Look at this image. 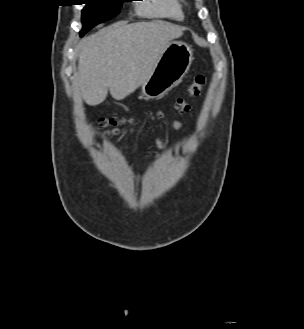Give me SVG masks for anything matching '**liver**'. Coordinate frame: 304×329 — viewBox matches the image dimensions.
<instances>
[{"label": "liver", "mask_w": 304, "mask_h": 329, "mask_svg": "<svg viewBox=\"0 0 304 329\" xmlns=\"http://www.w3.org/2000/svg\"><path fill=\"white\" fill-rule=\"evenodd\" d=\"M183 34L168 22L117 23L84 38L78 59L77 86L90 106L108 94L123 100L151 76L167 44Z\"/></svg>", "instance_id": "1"}]
</instances>
